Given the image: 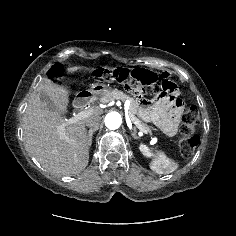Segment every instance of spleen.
Instances as JSON below:
<instances>
[{
    "instance_id": "obj_1",
    "label": "spleen",
    "mask_w": 236,
    "mask_h": 236,
    "mask_svg": "<svg viewBox=\"0 0 236 236\" xmlns=\"http://www.w3.org/2000/svg\"><path fill=\"white\" fill-rule=\"evenodd\" d=\"M149 166L158 174H169L177 170L179 164L168 158L164 152L157 151V158L153 159Z\"/></svg>"
}]
</instances>
